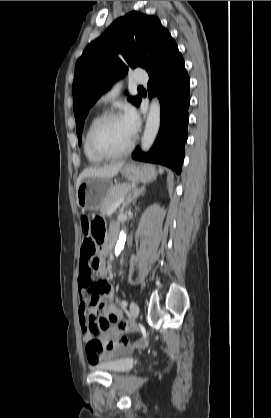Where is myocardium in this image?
Listing matches in <instances>:
<instances>
[{"label":"myocardium","instance_id":"myocardium-1","mask_svg":"<svg viewBox=\"0 0 271 418\" xmlns=\"http://www.w3.org/2000/svg\"><path fill=\"white\" fill-rule=\"evenodd\" d=\"M120 114L114 111H109L106 112L104 114H102L100 117H98L96 119V121L93 123L89 134H88V145L90 150L98 157L102 158V159H116V158H121L126 156L127 154H129L135 144V139L134 137H132L130 143L128 144V146L123 149L122 151L119 152H106L104 150H102L101 148L98 147V145L96 144V133L99 130V128L107 121L111 120V119H115V118H120Z\"/></svg>","mask_w":271,"mask_h":418}]
</instances>
